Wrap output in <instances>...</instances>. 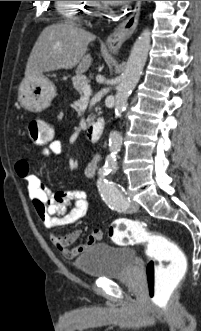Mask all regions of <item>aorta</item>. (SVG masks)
<instances>
[{
  "mask_svg": "<svg viewBox=\"0 0 201 331\" xmlns=\"http://www.w3.org/2000/svg\"><path fill=\"white\" fill-rule=\"evenodd\" d=\"M151 33L145 29L135 41L125 70L122 74V80L117 86L115 95V115L121 116L126 109L128 96L138 83L145 65L148 51L150 48ZM122 136L116 130L109 134V154L106 157L105 165L101 169V174H106L116 167V156L121 149Z\"/></svg>",
  "mask_w": 201,
  "mask_h": 331,
  "instance_id": "1",
  "label": "aorta"
}]
</instances>
